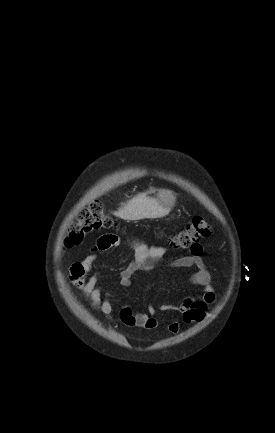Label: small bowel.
Segmentation results:
<instances>
[{
  "instance_id": "obj_1",
  "label": "small bowel",
  "mask_w": 275,
  "mask_h": 433,
  "mask_svg": "<svg viewBox=\"0 0 275 433\" xmlns=\"http://www.w3.org/2000/svg\"><path fill=\"white\" fill-rule=\"evenodd\" d=\"M120 238L114 234L103 235L94 246L95 251H105L120 244ZM134 252L133 260L128 263L120 273V284L124 287L131 285V277L134 273L141 270H149L167 252L163 246L149 245L143 241H135L131 244ZM202 246L196 245L190 255L181 256L175 259L171 265L179 268H193L189 281L193 286L201 287L202 293L198 296L187 297L176 307L163 305V310L176 309L182 314V319L186 324H193L201 321L207 312L208 307L214 303L216 295L211 286V274L205 261L201 257ZM97 255L92 253L82 261H76L70 268V280L72 284L80 289L84 297L90 304L102 313L107 319L113 316V306L110 301V294L104 293L98 286L99 272L91 274L96 262ZM158 311L150 307L148 313L133 312L128 307H122L119 311L120 322L130 328H143L153 330L157 327ZM180 323L172 320L168 325V330L172 334H178Z\"/></svg>"
}]
</instances>
